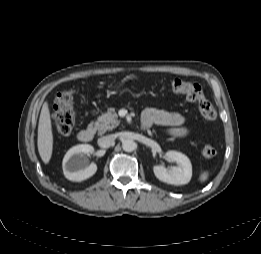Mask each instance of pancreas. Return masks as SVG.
<instances>
[{
	"mask_svg": "<svg viewBox=\"0 0 261 254\" xmlns=\"http://www.w3.org/2000/svg\"><path fill=\"white\" fill-rule=\"evenodd\" d=\"M92 125L99 134H103L119 125L118 116L114 109H109L106 113L99 116L97 121L92 123Z\"/></svg>",
	"mask_w": 261,
	"mask_h": 254,
	"instance_id": "1",
	"label": "pancreas"
}]
</instances>
